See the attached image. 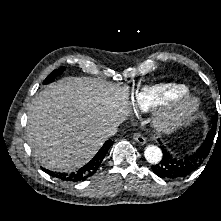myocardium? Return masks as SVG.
<instances>
[{
  "label": "myocardium",
  "mask_w": 221,
  "mask_h": 221,
  "mask_svg": "<svg viewBox=\"0 0 221 221\" xmlns=\"http://www.w3.org/2000/svg\"><path fill=\"white\" fill-rule=\"evenodd\" d=\"M200 101L194 96L168 99L153 112V126L160 132H172L185 125L199 109Z\"/></svg>",
  "instance_id": "1"
}]
</instances>
